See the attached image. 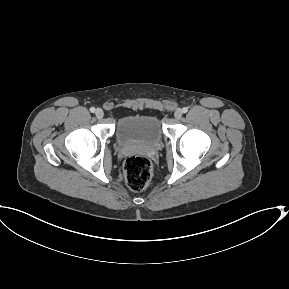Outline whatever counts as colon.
I'll list each match as a JSON object with an SVG mask.
<instances>
[{
	"label": "colon",
	"mask_w": 289,
	"mask_h": 289,
	"mask_svg": "<svg viewBox=\"0 0 289 289\" xmlns=\"http://www.w3.org/2000/svg\"><path fill=\"white\" fill-rule=\"evenodd\" d=\"M123 173L125 182L131 190L142 191L151 181L152 165L146 157L133 155L125 160Z\"/></svg>",
	"instance_id": "1"
}]
</instances>
